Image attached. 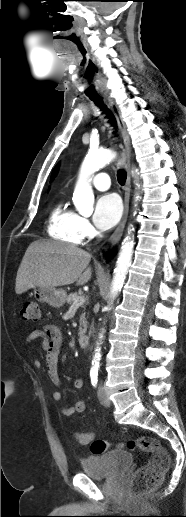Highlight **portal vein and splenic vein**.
Returning <instances> with one entry per match:
<instances>
[{
    "label": "portal vein and splenic vein",
    "mask_w": 186,
    "mask_h": 517,
    "mask_svg": "<svg viewBox=\"0 0 186 517\" xmlns=\"http://www.w3.org/2000/svg\"><path fill=\"white\" fill-rule=\"evenodd\" d=\"M85 301H86V298L84 296H80V297L74 299L72 307H79V306L83 305V303Z\"/></svg>",
    "instance_id": "1"
}]
</instances>
